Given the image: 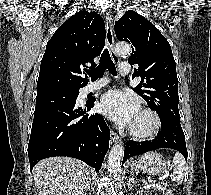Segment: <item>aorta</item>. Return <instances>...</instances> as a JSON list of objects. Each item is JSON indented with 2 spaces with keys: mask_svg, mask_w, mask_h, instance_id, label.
<instances>
[{
  "mask_svg": "<svg viewBox=\"0 0 211 195\" xmlns=\"http://www.w3.org/2000/svg\"><path fill=\"white\" fill-rule=\"evenodd\" d=\"M115 52L119 56H130L131 46L127 43H117L115 46ZM124 155V147L121 143L113 145L108 156L107 169L110 176L116 177L121 171V164Z\"/></svg>",
  "mask_w": 211,
  "mask_h": 195,
  "instance_id": "obj_1",
  "label": "aorta"
}]
</instances>
